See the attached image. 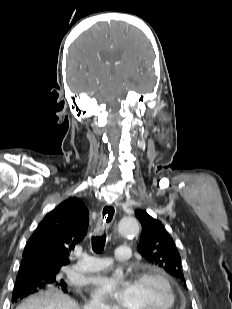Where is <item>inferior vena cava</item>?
<instances>
[{
  "label": "inferior vena cava",
  "instance_id": "602c4592",
  "mask_svg": "<svg viewBox=\"0 0 232 309\" xmlns=\"http://www.w3.org/2000/svg\"><path fill=\"white\" fill-rule=\"evenodd\" d=\"M84 309H104V307L99 300H94Z\"/></svg>",
  "mask_w": 232,
  "mask_h": 309
}]
</instances>
